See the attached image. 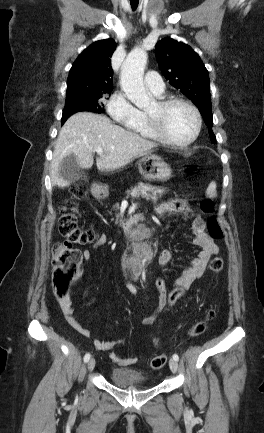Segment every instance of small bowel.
I'll use <instances>...</instances> for the list:
<instances>
[{"label": "small bowel", "mask_w": 264, "mask_h": 433, "mask_svg": "<svg viewBox=\"0 0 264 433\" xmlns=\"http://www.w3.org/2000/svg\"><path fill=\"white\" fill-rule=\"evenodd\" d=\"M156 211L159 214H178V213H192L193 209L190 204L185 200H170L165 201L156 207ZM192 232L194 235V244L200 248V252L198 256L192 261L190 267L186 268L180 277L175 280V285L183 287L185 289H189L191 284L198 278H200L206 268V265L209 259L218 252V248L213 240V238L205 231V222L204 220L197 216L193 220L192 223ZM108 244V240L105 236H101L98 238L92 245L93 249H98ZM82 257L85 262L89 261L92 257V252L90 249H85L82 252ZM172 258V254L170 251L166 250L162 253L160 257V262L162 265L166 266L170 263ZM155 287L159 292V306L158 310L162 308L166 301L167 297V287L165 281L163 279H156ZM127 288L131 293H135L136 290L131 283L127 284ZM59 305L61 311L66 319V321L70 324V326L76 330L79 334L84 337H89L91 335L90 330L84 328L75 318V309L72 305L70 295L60 298ZM155 319V315H151L149 317H145L141 320V323L144 325H149L153 323ZM122 343V340L118 341H104L101 339L94 340V346L96 349L100 351H110L115 346ZM110 358L122 365L129 366L136 364L138 362L137 357L126 358L120 356L116 353L111 352Z\"/></svg>", "instance_id": "c3829d8e"}]
</instances>
